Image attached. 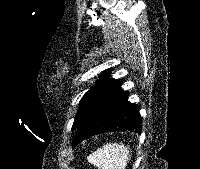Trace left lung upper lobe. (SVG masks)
Listing matches in <instances>:
<instances>
[{"label": "left lung upper lobe", "mask_w": 200, "mask_h": 169, "mask_svg": "<svg viewBox=\"0 0 200 169\" xmlns=\"http://www.w3.org/2000/svg\"><path fill=\"white\" fill-rule=\"evenodd\" d=\"M109 77V72L106 71L99 77L96 85L93 86L82 98L80 101V107L77 111L72 130L76 129L83 119L86 117L88 112L92 107L100 101L105 96L109 95L113 91L117 90L121 82L118 79L107 78Z\"/></svg>", "instance_id": "obj_1"}]
</instances>
